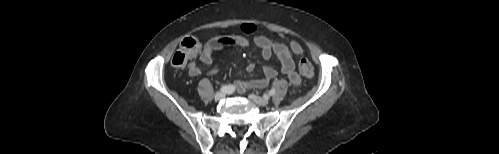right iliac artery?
<instances>
[{
    "instance_id": "82829eb1",
    "label": "right iliac artery",
    "mask_w": 499,
    "mask_h": 154,
    "mask_svg": "<svg viewBox=\"0 0 499 154\" xmlns=\"http://www.w3.org/2000/svg\"><path fill=\"white\" fill-rule=\"evenodd\" d=\"M220 90L224 93L231 94L235 91V87L233 85H224Z\"/></svg>"
}]
</instances>
